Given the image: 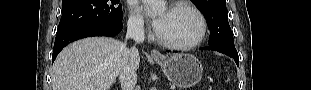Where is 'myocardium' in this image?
<instances>
[{
    "label": "myocardium",
    "instance_id": "myocardium-1",
    "mask_svg": "<svg viewBox=\"0 0 311 90\" xmlns=\"http://www.w3.org/2000/svg\"><path fill=\"white\" fill-rule=\"evenodd\" d=\"M176 9H186L192 12L197 17L199 21V25H200V30H199L198 35L196 36L194 40L187 42V43H173V42L166 41L159 36L158 32L156 33V39L160 45L168 49H172V50L192 49L198 46L199 44H201V42L204 40L206 36V32H207V21L204 15L195 6L187 2H177V3L172 4L169 8V10H176Z\"/></svg>",
    "mask_w": 311,
    "mask_h": 90
}]
</instances>
